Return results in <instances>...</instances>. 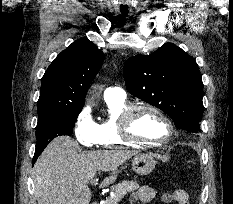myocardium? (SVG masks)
<instances>
[{
	"mask_svg": "<svg viewBox=\"0 0 233 204\" xmlns=\"http://www.w3.org/2000/svg\"><path fill=\"white\" fill-rule=\"evenodd\" d=\"M142 110H147L155 113L165 122L168 127V135L166 136V138L158 141L149 140L137 137L132 132V123L134 117L139 111ZM119 132L122 139L129 143L144 146H161L171 141V139L174 137L175 127L169 116L159 107L149 103H138L128 106L121 114L119 119Z\"/></svg>",
	"mask_w": 233,
	"mask_h": 204,
	"instance_id": "1",
	"label": "myocardium"
}]
</instances>
